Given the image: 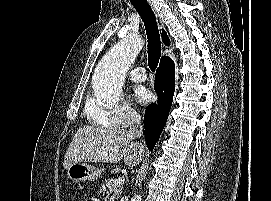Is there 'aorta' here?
Returning <instances> with one entry per match:
<instances>
[{
    "label": "aorta",
    "mask_w": 271,
    "mask_h": 201,
    "mask_svg": "<svg viewBox=\"0 0 271 201\" xmlns=\"http://www.w3.org/2000/svg\"><path fill=\"white\" fill-rule=\"evenodd\" d=\"M143 44L139 36L128 35L105 54L96 67L93 83L98 100L107 105L120 101L125 74L140 53ZM131 201H142V197L135 194Z\"/></svg>",
    "instance_id": "1"
}]
</instances>
